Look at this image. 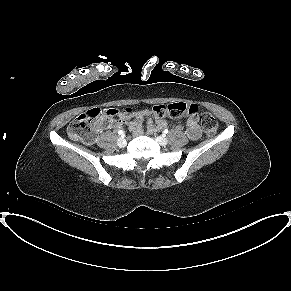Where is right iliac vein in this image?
<instances>
[{
	"label": "right iliac vein",
	"mask_w": 291,
	"mask_h": 291,
	"mask_svg": "<svg viewBox=\"0 0 291 291\" xmlns=\"http://www.w3.org/2000/svg\"><path fill=\"white\" fill-rule=\"evenodd\" d=\"M117 145H118L120 148H124V147L127 145V141H126L123 137H120V138L117 140Z\"/></svg>",
	"instance_id": "1"
}]
</instances>
